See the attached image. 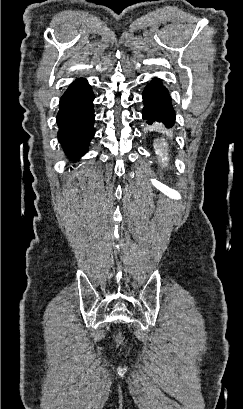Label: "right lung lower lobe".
Listing matches in <instances>:
<instances>
[{
    "label": "right lung lower lobe",
    "instance_id": "1",
    "mask_svg": "<svg viewBox=\"0 0 243 409\" xmlns=\"http://www.w3.org/2000/svg\"><path fill=\"white\" fill-rule=\"evenodd\" d=\"M93 100L94 94L83 78L73 82L60 99L58 139L72 159H78L86 152L95 134Z\"/></svg>",
    "mask_w": 243,
    "mask_h": 409
}]
</instances>
